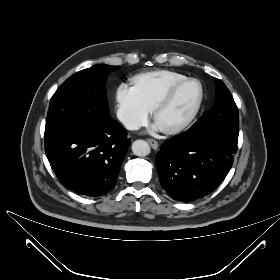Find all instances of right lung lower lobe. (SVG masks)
I'll list each match as a JSON object with an SVG mask.
<instances>
[{
    "instance_id": "98d812e1",
    "label": "right lung lower lobe",
    "mask_w": 280,
    "mask_h": 280,
    "mask_svg": "<svg viewBox=\"0 0 280 280\" xmlns=\"http://www.w3.org/2000/svg\"><path fill=\"white\" fill-rule=\"evenodd\" d=\"M131 140L124 128L108 124L70 123L45 134V153L59 181L86 196H102L116 185Z\"/></svg>"
}]
</instances>
